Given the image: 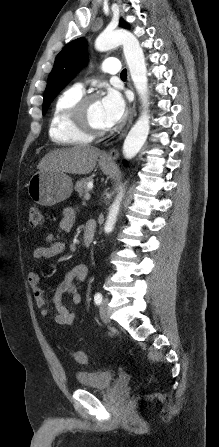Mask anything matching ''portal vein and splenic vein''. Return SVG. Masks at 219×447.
Segmentation results:
<instances>
[{
    "instance_id": "obj_1",
    "label": "portal vein and splenic vein",
    "mask_w": 219,
    "mask_h": 447,
    "mask_svg": "<svg viewBox=\"0 0 219 447\" xmlns=\"http://www.w3.org/2000/svg\"><path fill=\"white\" fill-rule=\"evenodd\" d=\"M89 185L91 186L92 184L89 183ZM84 198H85V200H89V199H90V194H89V193H86L85 196H84Z\"/></svg>"
}]
</instances>
